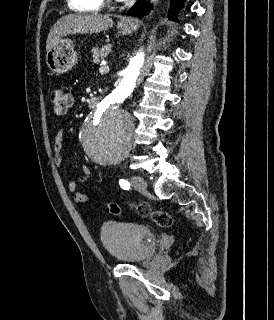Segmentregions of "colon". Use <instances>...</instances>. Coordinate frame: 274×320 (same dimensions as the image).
Wrapping results in <instances>:
<instances>
[{
	"instance_id": "colon-1",
	"label": "colon",
	"mask_w": 274,
	"mask_h": 320,
	"mask_svg": "<svg viewBox=\"0 0 274 320\" xmlns=\"http://www.w3.org/2000/svg\"><path fill=\"white\" fill-rule=\"evenodd\" d=\"M49 101L53 108V113L56 116H63L67 113L68 108L71 106L72 99L69 92L63 87H54L50 91ZM106 210L115 216H121L123 209L114 203H107ZM137 212L142 216L150 215L152 220L158 225H169L171 216L161 211H151L150 208L143 204L137 208Z\"/></svg>"
}]
</instances>
